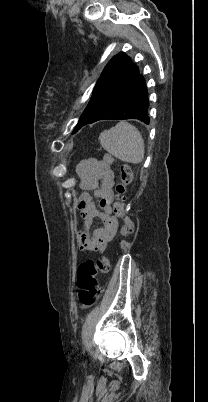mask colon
<instances>
[{
    "mask_svg": "<svg viewBox=\"0 0 208 402\" xmlns=\"http://www.w3.org/2000/svg\"><path fill=\"white\" fill-rule=\"evenodd\" d=\"M104 159L107 163L113 162L111 154H105ZM119 183L115 188L116 197L114 200V210L121 219V236L129 237L135 229L134 220L127 215L125 202L127 186L132 181V172L128 164L122 163L119 166ZM110 265L107 257L102 256L98 260L82 261L77 267V288L78 300L85 307L94 306L100 297L102 288L97 281V275L109 273Z\"/></svg>",
    "mask_w": 208,
    "mask_h": 402,
    "instance_id": "obj_1",
    "label": "colon"
}]
</instances>
